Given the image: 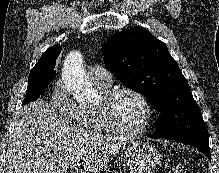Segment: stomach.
Listing matches in <instances>:
<instances>
[{
    "label": "stomach",
    "mask_w": 219,
    "mask_h": 173,
    "mask_svg": "<svg viewBox=\"0 0 219 173\" xmlns=\"http://www.w3.org/2000/svg\"><path fill=\"white\" fill-rule=\"evenodd\" d=\"M161 159V153L145 142H133L123 153V161L130 173H153Z\"/></svg>",
    "instance_id": "obj_1"
}]
</instances>
